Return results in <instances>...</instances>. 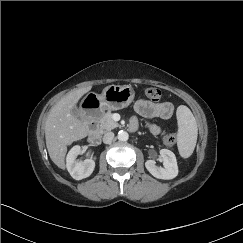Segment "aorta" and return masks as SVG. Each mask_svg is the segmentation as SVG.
I'll return each instance as SVG.
<instances>
[{
  "label": "aorta",
  "instance_id": "aorta-1",
  "mask_svg": "<svg viewBox=\"0 0 243 243\" xmlns=\"http://www.w3.org/2000/svg\"><path fill=\"white\" fill-rule=\"evenodd\" d=\"M129 138V135L126 131H119L118 132V140L120 141H127Z\"/></svg>",
  "mask_w": 243,
  "mask_h": 243
}]
</instances>
